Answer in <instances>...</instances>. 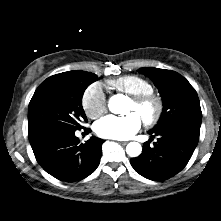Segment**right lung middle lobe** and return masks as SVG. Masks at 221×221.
I'll return each instance as SVG.
<instances>
[{"mask_svg": "<svg viewBox=\"0 0 221 221\" xmlns=\"http://www.w3.org/2000/svg\"><path fill=\"white\" fill-rule=\"evenodd\" d=\"M98 77L80 70L47 78L36 89L28 107L29 139L55 129L77 130L87 121L82 107L85 89Z\"/></svg>", "mask_w": 221, "mask_h": 221, "instance_id": "dd1d6c3e", "label": "right lung middle lobe"}]
</instances>
